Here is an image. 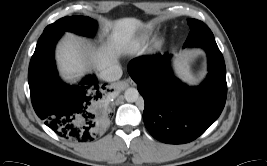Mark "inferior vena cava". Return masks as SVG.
Wrapping results in <instances>:
<instances>
[{"mask_svg": "<svg viewBox=\"0 0 267 166\" xmlns=\"http://www.w3.org/2000/svg\"><path fill=\"white\" fill-rule=\"evenodd\" d=\"M122 76V69L119 65H112L101 71L100 78L106 82L116 81Z\"/></svg>", "mask_w": 267, "mask_h": 166, "instance_id": "obj_1", "label": "inferior vena cava"}]
</instances>
